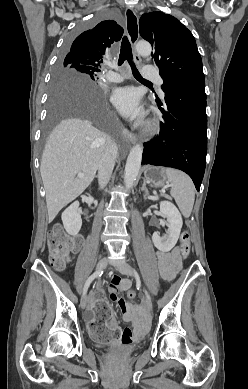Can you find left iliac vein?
Masks as SVG:
<instances>
[{"label":"left iliac vein","mask_w":248,"mask_h":389,"mask_svg":"<svg viewBox=\"0 0 248 389\" xmlns=\"http://www.w3.org/2000/svg\"><path fill=\"white\" fill-rule=\"evenodd\" d=\"M117 270L124 274V275H128V276H133L135 277L137 280H139V276L138 274L132 269V267L130 265H128L127 263L125 262H121L119 264H117L116 266ZM145 294H146V299H145V303H146V307H147V310L149 312H152V301L151 299L148 297V293L145 291Z\"/></svg>","instance_id":"1"}]
</instances>
